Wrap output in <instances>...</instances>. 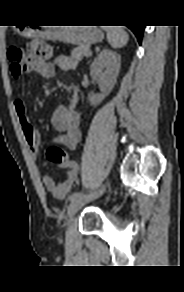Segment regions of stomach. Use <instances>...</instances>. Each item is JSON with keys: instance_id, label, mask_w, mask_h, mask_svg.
I'll list each match as a JSON object with an SVG mask.
<instances>
[{"instance_id": "1", "label": "stomach", "mask_w": 184, "mask_h": 292, "mask_svg": "<svg viewBox=\"0 0 184 292\" xmlns=\"http://www.w3.org/2000/svg\"><path fill=\"white\" fill-rule=\"evenodd\" d=\"M20 33L26 37L43 34L47 39L74 45H90L103 39V33L97 27H60L44 33L25 27L20 29Z\"/></svg>"}]
</instances>
